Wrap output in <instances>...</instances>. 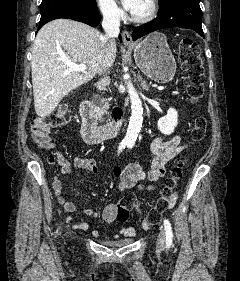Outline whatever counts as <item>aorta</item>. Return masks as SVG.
<instances>
[{
  "mask_svg": "<svg viewBox=\"0 0 240 281\" xmlns=\"http://www.w3.org/2000/svg\"><path fill=\"white\" fill-rule=\"evenodd\" d=\"M127 89L131 103V117L124 140L127 143H134L142 127L143 107L141 99L130 81L127 82Z\"/></svg>",
  "mask_w": 240,
  "mask_h": 281,
  "instance_id": "762f6f07",
  "label": "aorta"
}]
</instances>
